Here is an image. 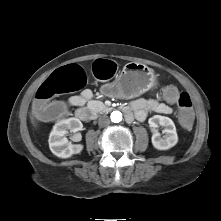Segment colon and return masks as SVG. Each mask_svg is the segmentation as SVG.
<instances>
[{
	"mask_svg": "<svg viewBox=\"0 0 221 221\" xmlns=\"http://www.w3.org/2000/svg\"><path fill=\"white\" fill-rule=\"evenodd\" d=\"M116 69L117 65L113 61L105 59L97 60L93 65V73L98 79H110ZM86 82V74L78 65H68L53 72L39 87L36 94L34 107L37 121L44 123L67 119L72 111L67 102L47 104V101L56 95L79 90L85 86ZM161 98L166 105L178 104V117L184 129H192L195 126V119L192 117V101L188 93H181L177 86L169 85L162 90Z\"/></svg>",
	"mask_w": 221,
	"mask_h": 221,
	"instance_id": "5ec220e1",
	"label": "colon"
}]
</instances>
